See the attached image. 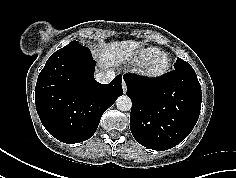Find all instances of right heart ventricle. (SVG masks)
Returning a JSON list of instances; mask_svg holds the SVG:
<instances>
[{"label":"right heart ventricle","mask_w":236,"mask_h":178,"mask_svg":"<svg viewBox=\"0 0 236 178\" xmlns=\"http://www.w3.org/2000/svg\"><path fill=\"white\" fill-rule=\"evenodd\" d=\"M161 53V50L155 46H147L139 49L135 54V61L139 64L151 59Z\"/></svg>","instance_id":"obj_1"}]
</instances>
